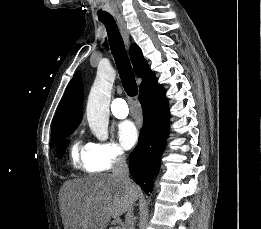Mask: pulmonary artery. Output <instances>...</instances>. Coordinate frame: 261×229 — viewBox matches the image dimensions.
I'll use <instances>...</instances> for the list:
<instances>
[{
	"label": "pulmonary artery",
	"instance_id": "1",
	"mask_svg": "<svg viewBox=\"0 0 261 229\" xmlns=\"http://www.w3.org/2000/svg\"><path fill=\"white\" fill-rule=\"evenodd\" d=\"M112 114L118 119H124L129 115V109L126 102L121 99H115L111 105Z\"/></svg>",
	"mask_w": 261,
	"mask_h": 229
}]
</instances>
